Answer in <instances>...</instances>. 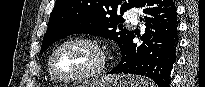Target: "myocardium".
Listing matches in <instances>:
<instances>
[{
  "label": "myocardium",
  "instance_id": "myocardium-1",
  "mask_svg": "<svg viewBox=\"0 0 205 87\" xmlns=\"http://www.w3.org/2000/svg\"><path fill=\"white\" fill-rule=\"evenodd\" d=\"M75 43H81L91 46L98 54L99 61L97 66L92 69L89 72L80 74V75H74V76H61L59 75L54 67V60L57 55V53L65 46ZM106 66V55L104 52L103 47L94 39L89 37H73L69 38L62 43H60L58 46L54 48L52 51L49 61H48V67H49V73L53 79H55L58 82L62 83H71V82H83V81H89L92 79H95L99 77L103 71L105 70Z\"/></svg>",
  "mask_w": 205,
  "mask_h": 87
}]
</instances>
